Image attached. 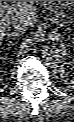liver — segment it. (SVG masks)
<instances>
[{
  "instance_id": "1",
  "label": "liver",
  "mask_w": 74,
  "mask_h": 122,
  "mask_svg": "<svg viewBox=\"0 0 74 122\" xmlns=\"http://www.w3.org/2000/svg\"><path fill=\"white\" fill-rule=\"evenodd\" d=\"M35 1H10V4L2 3L0 8V38L5 36L13 16H24L28 20V27H33L37 18V8L33 6Z\"/></svg>"
}]
</instances>
